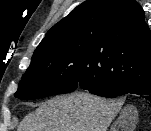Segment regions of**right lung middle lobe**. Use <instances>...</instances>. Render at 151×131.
<instances>
[{
    "label": "right lung middle lobe",
    "mask_w": 151,
    "mask_h": 131,
    "mask_svg": "<svg viewBox=\"0 0 151 131\" xmlns=\"http://www.w3.org/2000/svg\"><path fill=\"white\" fill-rule=\"evenodd\" d=\"M107 83L94 58L73 42L37 48L31 64L19 82L15 97L32 100L70 93L79 83Z\"/></svg>",
    "instance_id": "dd1d6c3e"
}]
</instances>
